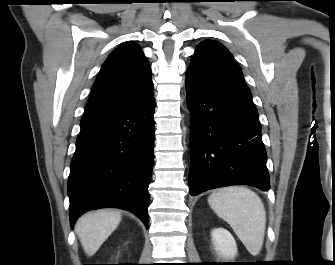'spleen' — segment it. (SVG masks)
<instances>
[{
  "mask_svg": "<svg viewBox=\"0 0 335 265\" xmlns=\"http://www.w3.org/2000/svg\"><path fill=\"white\" fill-rule=\"evenodd\" d=\"M208 203L225 220L248 252L259 254L264 241L266 212L261 198L244 186H230L214 191Z\"/></svg>",
  "mask_w": 335,
  "mask_h": 265,
  "instance_id": "spleen-1",
  "label": "spleen"
}]
</instances>
